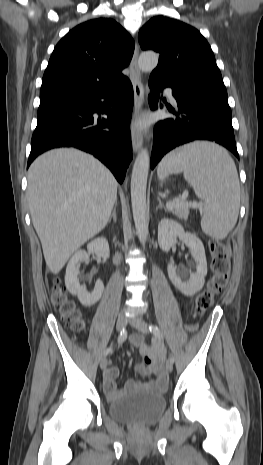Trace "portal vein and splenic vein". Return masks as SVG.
Instances as JSON below:
<instances>
[{
	"label": "portal vein and splenic vein",
	"mask_w": 263,
	"mask_h": 465,
	"mask_svg": "<svg viewBox=\"0 0 263 465\" xmlns=\"http://www.w3.org/2000/svg\"><path fill=\"white\" fill-rule=\"evenodd\" d=\"M188 196V191H184L182 196L179 198V199H176V200H173L172 202H169L166 204V207L169 209V210H173L175 209L176 207L178 206H186V207H192V208H197V207H201L202 204L200 202H186V198Z\"/></svg>",
	"instance_id": "18ae733b"
}]
</instances>
